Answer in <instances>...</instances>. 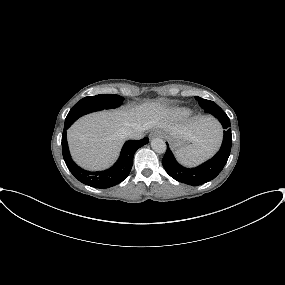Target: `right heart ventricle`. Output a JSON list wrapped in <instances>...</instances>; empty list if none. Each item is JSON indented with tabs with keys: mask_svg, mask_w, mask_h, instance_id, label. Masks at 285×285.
I'll use <instances>...</instances> for the list:
<instances>
[{
	"mask_svg": "<svg viewBox=\"0 0 285 285\" xmlns=\"http://www.w3.org/2000/svg\"><path fill=\"white\" fill-rule=\"evenodd\" d=\"M175 114L179 117L185 116L188 114V111L185 109H177L175 110Z\"/></svg>",
	"mask_w": 285,
	"mask_h": 285,
	"instance_id": "1",
	"label": "right heart ventricle"
}]
</instances>
